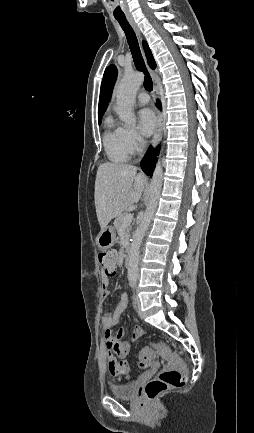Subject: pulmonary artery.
I'll return each mask as SVG.
<instances>
[{
	"label": "pulmonary artery",
	"instance_id": "pulmonary-artery-1",
	"mask_svg": "<svg viewBox=\"0 0 254 433\" xmlns=\"http://www.w3.org/2000/svg\"><path fill=\"white\" fill-rule=\"evenodd\" d=\"M150 97L146 92H141L137 96V101L139 105H145L149 102Z\"/></svg>",
	"mask_w": 254,
	"mask_h": 433
}]
</instances>
